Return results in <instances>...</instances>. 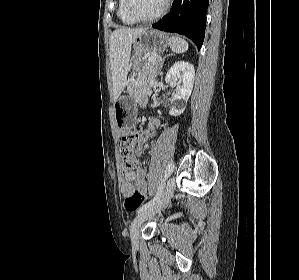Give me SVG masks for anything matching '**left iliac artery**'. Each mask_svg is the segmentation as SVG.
<instances>
[{
	"mask_svg": "<svg viewBox=\"0 0 299 280\" xmlns=\"http://www.w3.org/2000/svg\"><path fill=\"white\" fill-rule=\"evenodd\" d=\"M173 169H174V163L171 162L168 164L167 166V169L165 170V173H164V179L163 181L161 182L159 188H158V191L155 195V197L150 200L149 202H147L146 204H144L139 210H138V213L146 210L147 208L151 207L152 205L155 204L156 201H158V199L160 198L162 192H163V189H164V185H165V181L170 177V175L172 174L173 172Z\"/></svg>",
	"mask_w": 299,
	"mask_h": 280,
	"instance_id": "obj_1",
	"label": "left iliac artery"
}]
</instances>
